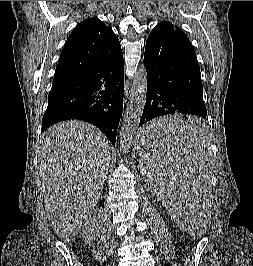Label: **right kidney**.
I'll list each match as a JSON object with an SVG mask.
<instances>
[{"label":"right kidney","instance_id":"right-kidney-1","mask_svg":"<svg viewBox=\"0 0 253 266\" xmlns=\"http://www.w3.org/2000/svg\"><path fill=\"white\" fill-rule=\"evenodd\" d=\"M81 229L80 235L82 239L90 244L100 236L101 223L97 221L96 215H93L83 223Z\"/></svg>","mask_w":253,"mask_h":266}]
</instances>
